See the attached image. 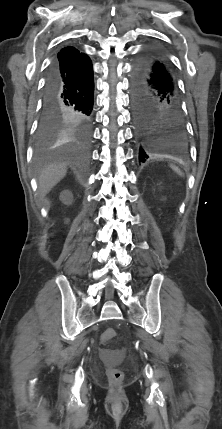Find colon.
<instances>
[{
	"instance_id": "colon-1",
	"label": "colon",
	"mask_w": 222,
	"mask_h": 429,
	"mask_svg": "<svg viewBox=\"0 0 222 429\" xmlns=\"http://www.w3.org/2000/svg\"><path fill=\"white\" fill-rule=\"evenodd\" d=\"M115 336H116V333L114 330L112 329L105 330L101 336L102 344L104 345L108 344L110 341H112L115 338ZM107 376L112 385H119L124 378V373L119 368L109 367L107 369Z\"/></svg>"
}]
</instances>
